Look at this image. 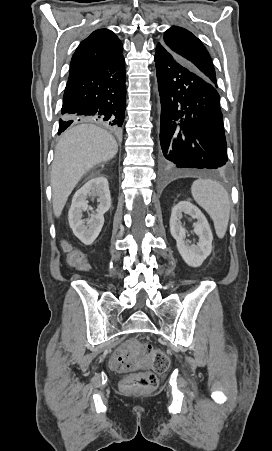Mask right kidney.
I'll return each mask as SVG.
<instances>
[{
    "label": "right kidney",
    "instance_id": "ca27d5eb",
    "mask_svg": "<svg viewBox=\"0 0 272 451\" xmlns=\"http://www.w3.org/2000/svg\"><path fill=\"white\" fill-rule=\"evenodd\" d=\"M97 196L99 202L96 210L97 214H90L91 218L88 220H81L82 212H87L88 204L87 198ZM111 206V196L109 190L108 180L103 176L92 178L86 182L80 190H77L72 198L71 208L68 212L69 226L72 227L73 233L79 237L85 245H90L99 235L104 224L105 212H108Z\"/></svg>",
    "mask_w": 272,
    "mask_h": 451
}]
</instances>
